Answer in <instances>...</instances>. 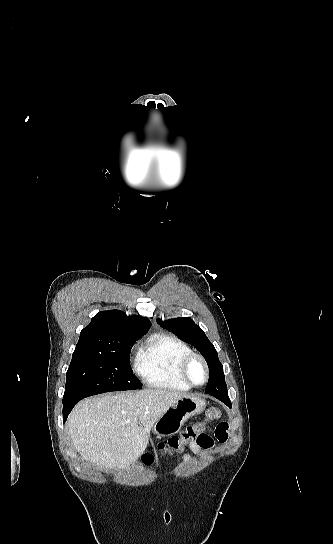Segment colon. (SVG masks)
<instances>
[{"label":"colon","instance_id":"obj_1","mask_svg":"<svg viewBox=\"0 0 333 544\" xmlns=\"http://www.w3.org/2000/svg\"><path fill=\"white\" fill-rule=\"evenodd\" d=\"M222 412L217 407H210L205 412V420L196 422L187 426L179 436H173L166 441L160 442L157 445V451L162 455H172L175 452L183 450L186 444L199 439L204 434L206 422H212L219 419ZM155 454L146 452L142 456L145 464H152L155 459Z\"/></svg>","mask_w":333,"mask_h":544}]
</instances>
